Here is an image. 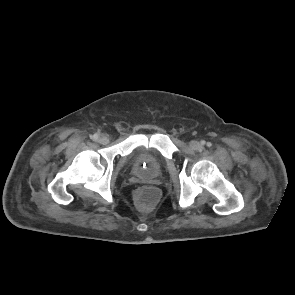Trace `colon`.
Here are the masks:
<instances>
[{
    "label": "colon",
    "instance_id": "5ec220e1",
    "mask_svg": "<svg viewBox=\"0 0 295 295\" xmlns=\"http://www.w3.org/2000/svg\"><path fill=\"white\" fill-rule=\"evenodd\" d=\"M159 198V191L153 186H142L135 191L134 199L139 207L148 209L152 207Z\"/></svg>",
    "mask_w": 295,
    "mask_h": 295
}]
</instances>
